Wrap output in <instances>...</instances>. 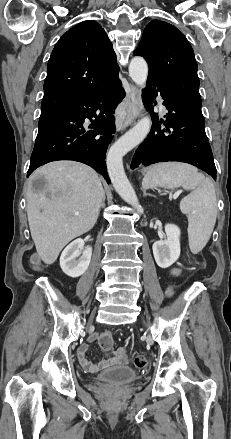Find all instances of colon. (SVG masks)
Wrapping results in <instances>:
<instances>
[{"instance_id": "colon-1", "label": "colon", "mask_w": 231, "mask_h": 439, "mask_svg": "<svg viewBox=\"0 0 231 439\" xmlns=\"http://www.w3.org/2000/svg\"><path fill=\"white\" fill-rule=\"evenodd\" d=\"M99 344L103 349H110L113 345L112 334L108 331L103 332L100 336ZM133 362L137 369H144L147 366V358L143 354H137Z\"/></svg>"}]
</instances>
